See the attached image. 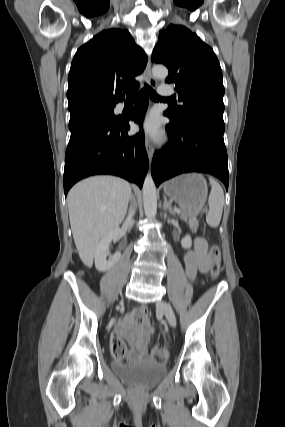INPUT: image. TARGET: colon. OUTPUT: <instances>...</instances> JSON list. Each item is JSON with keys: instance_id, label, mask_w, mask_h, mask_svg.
Listing matches in <instances>:
<instances>
[{"instance_id": "colon-1", "label": "colon", "mask_w": 285, "mask_h": 427, "mask_svg": "<svg viewBox=\"0 0 285 427\" xmlns=\"http://www.w3.org/2000/svg\"><path fill=\"white\" fill-rule=\"evenodd\" d=\"M210 257L212 260L210 266V275L213 279H217L221 271V250L218 245H213L210 249ZM112 354L119 360H125L127 357V347L124 341L115 336L111 342ZM167 351L161 345L157 344L152 350V359L156 364L163 365L167 360Z\"/></svg>"}]
</instances>
